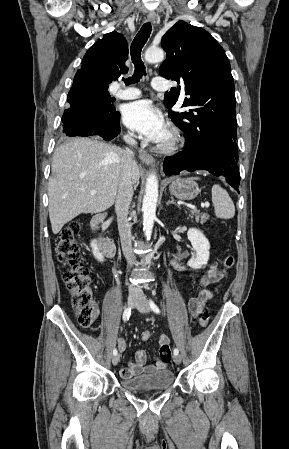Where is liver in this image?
I'll use <instances>...</instances> for the list:
<instances>
[{
  "label": "liver",
  "mask_w": 289,
  "mask_h": 449,
  "mask_svg": "<svg viewBox=\"0 0 289 449\" xmlns=\"http://www.w3.org/2000/svg\"><path fill=\"white\" fill-rule=\"evenodd\" d=\"M125 152L94 139L75 138L59 146L52 160L48 181L49 217L52 232L82 213H99L115 201ZM140 168L132 167L133 184H138ZM96 191L95 195L91 191Z\"/></svg>",
  "instance_id": "6515ba94"
}]
</instances>
